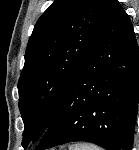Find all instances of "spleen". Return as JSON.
Masks as SVG:
<instances>
[{"label": "spleen", "mask_w": 139, "mask_h": 150, "mask_svg": "<svg viewBox=\"0 0 139 150\" xmlns=\"http://www.w3.org/2000/svg\"><path fill=\"white\" fill-rule=\"evenodd\" d=\"M70 150H102L98 146L90 145V144H78L71 146Z\"/></svg>", "instance_id": "spleen-1"}]
</instances>
